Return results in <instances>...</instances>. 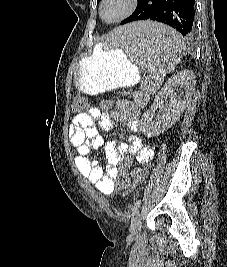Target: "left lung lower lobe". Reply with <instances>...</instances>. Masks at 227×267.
I'll list each match as a JSON object with an SVG mask.
<instances>
[{
    "label": "left lung lower lobe",
    "instance_id": "obj_1",
    "mask_svg": "<svg viewBox=\"0 0 227 267\" xmlns=\"http://www.w3.org/2000/svg\"><path fill=\"white\" fill-rule=\"evenodd\" d=\"M195 0H138L134 13L120 24H127L138 20H153L165 23L184 36H192L194 24ZM169 46L168 42H159L150 38L149 44Z\"/></svg>",
    "mask_w": 227,
    "mask_h": 267
}]
</instances>
